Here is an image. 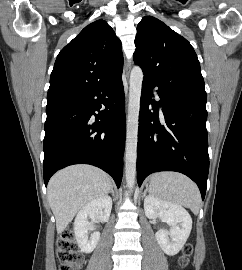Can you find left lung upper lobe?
I'll return each mask as SVG.
<instances>
[{
  "mask_svg": "<svg viewBox=\"0 0 242 270\" xmlns=\"http://www.w3.org/2000/svg\"><path fill=\"white\" fill-rule=\"evenodd\" d=\"M133 58L144 79L175 97L206 99L200 63L191 44L152 16L137 26Z\"/></svg>",
  "mask_w": 242,
  "mask_h": 270,
  "instance_id": "obj_1",
  "label": "left lung upper lobe"
}]
</instances>
